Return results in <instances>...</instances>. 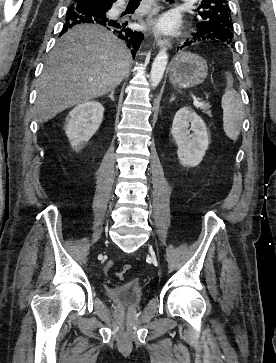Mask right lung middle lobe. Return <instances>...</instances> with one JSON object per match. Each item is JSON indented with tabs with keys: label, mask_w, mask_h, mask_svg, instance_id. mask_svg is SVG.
Segmentation results:
<instances>
[{
	"label": "right lung middle lobe",
	"mask_w": 276,
	"mask_h": 363,
	"mask_svg": "<svg viewBox=\"0 0 276 363\" xmlns=\"http://www.w3.org/2000/svg\"><path fill=\"white\" fill-rule=\"evenodd\" d=\"M76 1H78V0H73V2H72V4H71V5H74V4H76Z\"/></svg>",
	"instance_id": "1"
}]
</instances>
